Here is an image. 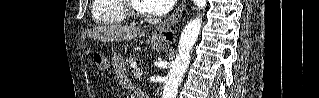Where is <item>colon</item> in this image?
I'll return each instance as SVG.
<instances>
[{"label":"colon","instance_id":"colon-1","mask_svg":"<svg viewBox=\"0 0 319 98\" xmlns=\"http://www.w3.org/2000/svg\"><path fill=\"white\" fill-rule=\"evenodd\" d=\"M93 61L99 69H104L106 67L105 58L101 53H98V52L94 53Z\"/></svg>","mask_w":319,"mask_h":98}]
</instances>
